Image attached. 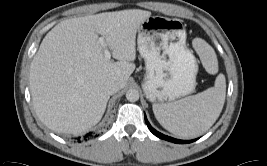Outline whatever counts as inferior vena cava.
<instances>
[{
	"label": "inferior vena cava",
	"mask_w": 267,
	"mask_h": 166,
	"mask_svg": "<svg viewBox=\"0 0 267 166\" xmlns=\"http://www.w3.org/2000/svg\"><path fill=\"white\" fill-rule=\"evenodd\" d=\"M105 89L109 95H112L117 93L120 90V87L116 82L110 81L106 83Z\"/></svg>",
	"instance_id": "obj_1"
}]
</instances>
